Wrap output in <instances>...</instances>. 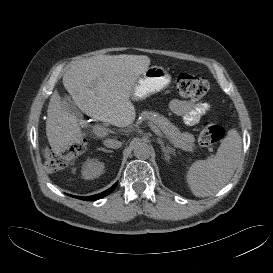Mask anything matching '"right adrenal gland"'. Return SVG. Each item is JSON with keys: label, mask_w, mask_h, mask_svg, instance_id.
Here are the masks:
<instances>
[{"label": "right adrenal gland", "mask_w": 273, "mask_h": 273, "mask_svg": "<svg viewBox=\"0 0 273 273\" xmlns=\"http://www.w3.org/2000/svg\"><path fill=\"white\" fill-rule=\"evenodd\" d=\"M98 150H101V151H104V152H107V153H112L113 152L112 150H108V149L103 148V147L98 148Z\"/></svg>", "instance_id": "2a0ac1e0"}]
</instances>
